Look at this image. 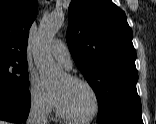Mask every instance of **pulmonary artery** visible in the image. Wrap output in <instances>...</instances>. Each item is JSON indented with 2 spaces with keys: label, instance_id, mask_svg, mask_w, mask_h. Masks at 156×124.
Returning a JSON list of instances; mask_svg holds the SVG:
<instances>
[{
  "label": "pulmonary artery",
  "instance_id": "pulmonary-artery-1",
  "mask_svg": "<svg viewBox=\"0 0 156 124\" xmlns=\"http://www.w3.org/2000/svg\"><path fill=\"white\" fill-rule=\"evenodd\" d=\"M51 53L66 69L71 68L72 62L70 52L64 42L55 40L51 46Z\"/></svg>",
  "mask_w": 156,
  "mask_h": 124
}]
</instances>
